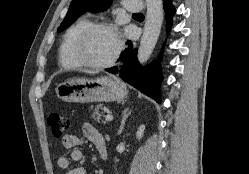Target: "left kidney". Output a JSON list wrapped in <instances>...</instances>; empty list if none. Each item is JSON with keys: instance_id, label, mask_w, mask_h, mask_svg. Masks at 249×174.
I'll return each instance as SVG.
<instances>
[{"instance_id": "1", "label": "left kidney", "mask_w": 249, "mask_h": 174, "mask_svg": "<svg viewBox=\"0 0 249 174\" xmlns=\"http://www.w3.org/2000/svg\"><path fill=\"white\" fill-rule=\"evenodd\" d=\"M144 130H145V126H144V125H141V126L138 128V131H137V134H136L138 140H140V139L143 137Z\"/></svg>"}]
</instances>
